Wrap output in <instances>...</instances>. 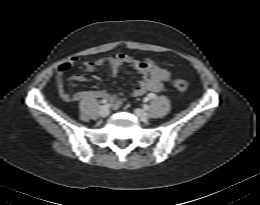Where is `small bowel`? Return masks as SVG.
Returning <instances> with one entry per match:
<instances>
[{
    "instance_id": "c3829d8e",
    "label": "small bowel",
    "mask_w": 260,
    "mask_h": 205,
    "mask_svg": "<svg viewBox=\"0 0 260 205\" xmlns=\"http://www.w3.org/2000/svg\"><path fill=\"white\" fill-rule=\"evenodd\" d=\"M79 62L82 67L89 72H93L99 67L108 66L114 76L118 75L124 65H129L139 71L142 74V79L132 91V95L135 97L142 96L147 92H160L163 89L164 83L169 80L168 70L160 67L150 58L138 59L123 52L85 61H80L79 58L72 57L59 66L56 74L57 86L61 98L66 102L86 97H99L107 99L113 108H118L122 103V96L120 94L109 93L105 90H91L76 93L67 92L66 88L68 82L66 80V75L68 71ZM81 81H83L82 77L74 79V82Z\"/></svg>"
}]
</instances>
